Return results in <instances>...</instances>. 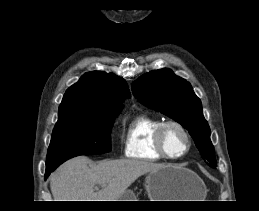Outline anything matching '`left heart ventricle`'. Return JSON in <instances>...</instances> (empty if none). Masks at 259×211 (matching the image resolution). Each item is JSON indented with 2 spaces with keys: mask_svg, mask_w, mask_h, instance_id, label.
Instances as JSON below:
<instances>
[{
  "mask_svg": "<svg viewBox=\"0 0 259 211\" xmlns=\"http://www.w3.org/2000/svg\"><path fill=\"white\" fill-rule=\"evenodd\" d=\"M164 142L167 152L170 155L176 156L186 148V139L182 132L176 127H168L164 134Z\"/></svg>",
  "mask_w": 259,
  "mask_h": 211,
  "instance_id": "obj_1",
  "label": "left heart ventricle"
}]
</instances>
